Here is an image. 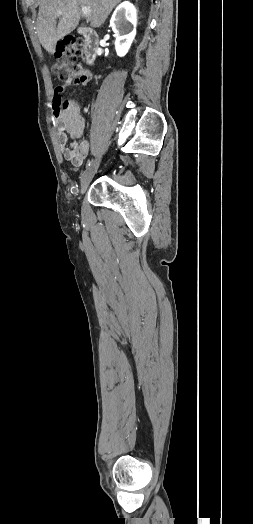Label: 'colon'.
I'll return each instance as SVG.
<instances>
[{
	"label": "colon",
	"instance_id": "obj_1",
	"mask_svg": "<svg viewBox=\"0 0 253 524\" xmlns=\"http://www.w3.org/2000/svg\"><path fill=\"white\" fill-rule=\"evenodd\" d=\"M85 41L77 36L68 35L57 44L56 60L52 65L53 73L64 84H78L80 90H89L91 81L87 71L78 61L82 56ZM70 105L68 100L59 98L53 104V111L59 116Z\"/></svg>",
	"mask_w": 253,
	"mask_h": 524
}]
</instances>
